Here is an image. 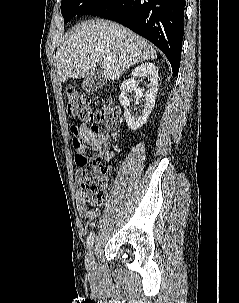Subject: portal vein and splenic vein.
I'll use <instances>...</instances> for the list:
<instances>
[{
    "instance_id": "18ae733b",
    "label": "portal vein and splenic vein",
    "mask_w": 239,
    "mask_h": 303,
    "mask_svg": "<svg viewBox=\"0 0 239 303\" xmlns=\"http://www.w3.org/2000/svg\"><path fill=\"white\" fill-rule=\"evenodd\" d=\"M104 63L109 64L110 60L108 58L104 59Z\"/></svg>"
}]
</instances>
